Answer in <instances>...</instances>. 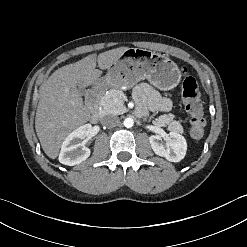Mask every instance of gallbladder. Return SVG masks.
I'll list each match as a JSON object with an SVG mask.
<instances>
[{
	"label": "gallbladder",
	"mask_w": 247,
	"mask_h": 247,
	"mask_svg": "<svg viewBox=\"0 0 247 247\" xmlns=\"http://www.w3.org/2000/svg\"><path fill=\"white\" fill-rule=\"evenodd\" d=\"M78 90H79V93H80L82 96H84V95L86 94V89H84V88H82V87H79Z\"/></svg>",
	"instance_id": "gallbladder-1"
}]
</instances>
